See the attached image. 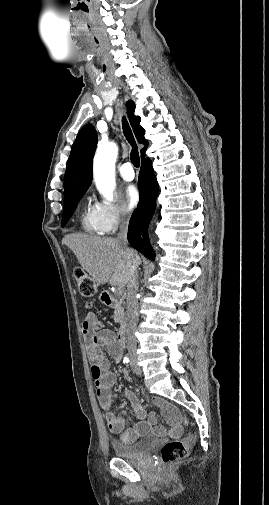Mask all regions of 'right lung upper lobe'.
I'll return each mask as SVG.
<instances>
[{"label": "right lung upper lobe", "mask_w": 269, "mask_h": 505, "mask_svg": "<svg viewBox=\"0 0 269 505\" xmlns=\"http://www.w3.org/2000/svg\"><path fill=\"white\" fill-rule=\"evenodd\" d=\"M130 124L133 127L137 141L144 145L141 149V159L148 147V141L144 138V129L140 126L141 118L134 115L135 104L129 100L126 103ZM97 143V133L90 124L85 125L77 135L72 145L65 177H64V200L83 191H87L92 181V158Z\"/></svg>", "instance_id": "1"}]
</instances>
